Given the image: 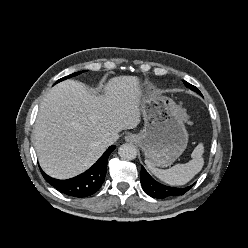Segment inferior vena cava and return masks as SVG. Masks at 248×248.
<instances>
[{"label": "inferior vena cava", "mask_w": 248, "mask_h": 248, "mask_svg": "<svg viewBox=\"0 0 248 248\" xmlns=\"http://www.w3.org/2000/svg\"><path fill=\"white\" fill-rule=\"evenodd\" d=\"M117 139H118L117 135H108L102 140V142L105 145L109 146L112 145L114 142H116Z\"/></svg>", "instance_id": "602c4592"}]
</instances>
